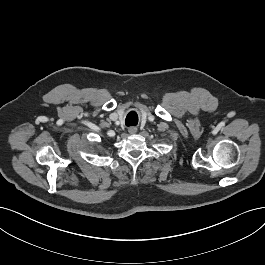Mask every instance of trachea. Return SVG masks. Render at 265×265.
Listing matches in <instances>:
<instances>
[{"label": "trachea", "mask_w": 265, "mask_h": 265, "mask_svg": "<svg viewBox=\"0 0 265 265\" xmlns=\"http://www.w3.org/2000/svg\"><path fill=\"white\" fill-rule=\"evenodd\" d=\"M137 123H138V116L136 112L134 111L130 112L125 119L126 126H135L137 125Z\"/></svg>", "instance_id": "obj_1"}]
</instances>
